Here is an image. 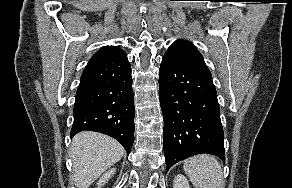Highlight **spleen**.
<instances>
[{"instance_id":"1","label":"spleen","mask_w":292,"mask_h":188,"mask_svg":"<svg viewBox=\"0 0 292 188\" xmlns=\"http://www.w3.org/2000/svg\"><path fill=\"white\" fill-rule=\"evenodd\" d=\"M184 171L196 188H224L222 168L211 155L202 154L185 160Z\"/></svg>"}]
</instances>
